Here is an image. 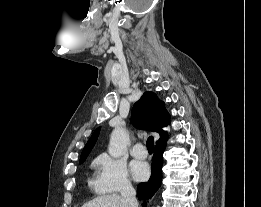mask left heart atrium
I'll list each match as a JSON object with an SVG mask.
<instances>
[{
    "label": "left heart atrium",
    "instance_id": "39dd6f15",
    "mask_svg": "<svg viewBox=\"0 0 261 207\" xmlns=\"http://www.w3.org/2000/svg\"><path fill=\"white\" fill-rule=\"evenodd\" d=\"M131 170H132L133 177L136 180H143L149 174L148 165L142 161H133L131 163Z\"/></svg>",
    "mask_w": 261,
    "mask_h": 207
}]
</instances>
